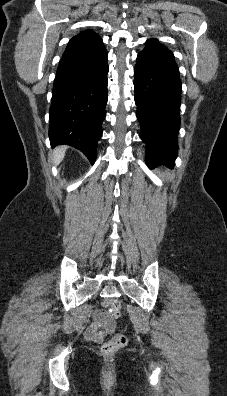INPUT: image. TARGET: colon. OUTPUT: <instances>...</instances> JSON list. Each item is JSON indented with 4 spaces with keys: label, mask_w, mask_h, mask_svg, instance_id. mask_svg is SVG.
<instances>
[{
    "label": "colon",
    "mask_w": 227,
    "mask_h": 396,
    "mask_svg": "<svg viewBox=\"0 0 227 396\" xmlns=\"http://www.w3.org/2000/svg\"><path fill=\"white\" fill-rule=\"evenodd\" d=\"M122 302L119 299H114L109 307V314L117 319L121 315ZM127 344V337L123 334H116L111 340L102 346V351L106 355L115 353L120 348Z\"/></svg>",
    "instance_id": "5ec220e1"
}]
</instances>
